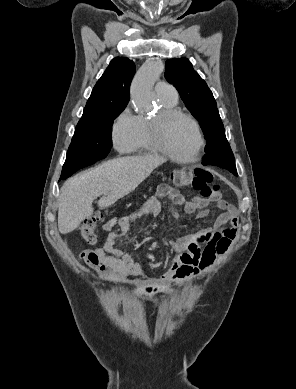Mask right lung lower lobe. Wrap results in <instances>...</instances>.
I'll return each instance as SVG.
<instances>
[{"instance_id":"right-lung-lower-lobe-1","label":"right lung lower lobe","mask_w":296,"mask_h":389,"mask_svg":"<svg viewBox=\"0 0 296 389\" xmlns=\"http://www.w3.org/2000/svg\"><path fill=\"white\" fill-rule=\"evenodd\" d=\"M72 174H73V172L62 173L60 179H66L67 177L71 176Z\"/></svg>"}]
</instances>
